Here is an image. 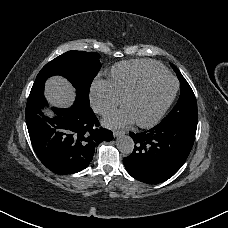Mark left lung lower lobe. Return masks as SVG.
I'll list each match as a JSON object with an SVG mask.
<instances>
[{
	"instance_id": "left-lung-lower-lobe-1",
	"label": "left lung lower lobe",
	"mask_w": 228,
	"mask_h": 228,
	"mask_svg": "<svg viewBox=\"0 0 228 228\" xmlns=\"http://www.w3.org/2000/svg\"><path fill=\"white\" fill-rule=\"evenodd\" d=\"M195 134L194 127L159 125L142 133H130L135 147L123 159L126 170L135 179L147 184L166 181L185 163Z\"/></svg>"
}]
</instances>
